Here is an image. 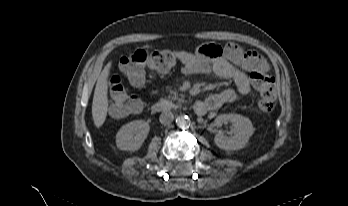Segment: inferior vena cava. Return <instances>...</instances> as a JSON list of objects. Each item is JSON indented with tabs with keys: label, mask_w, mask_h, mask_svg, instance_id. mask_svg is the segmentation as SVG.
Here are the masks:
<instances>
[{
	"label": "inferior vena cava",
	"mask_w": 348,
	"mask_h": 206,
	"mask_svg": "<svg viewBox=\"0 0 348 206\" xmlns=\"http://www.w3.org/2000/svg\"><path fill=\"white\" fill-rule=\"evenodd\" d=\"M173 119H174V115L172 114V112H169V111L162 112L159 117V121L161 122V124H164V125L170 124L173 121Z\"/></svg>",
	"instance_id": "obj_1"
}]
</instances>
